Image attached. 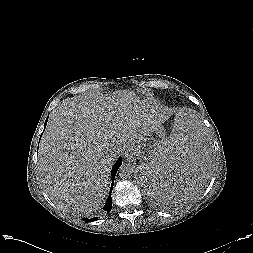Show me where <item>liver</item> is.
Wrapping results in <instances>:
<instances>
[{
	"instance_id": "1",
	"label": "liver",
	"mask_w": 253,
	"mask_h": 253,
	"mask_svg": "<svg viewBox=\"0 0 253 253\" xmlns=\"http://www.w3.org/2000/svg\"><path fill=\"white\" fill-rule=\"evenodd\" d=\"M168 118L163 107L128 90L63 100L50 115L38 153L50 200L74 216H94L106 201L119 154Z\"/></svg>"
}]
</instances>
